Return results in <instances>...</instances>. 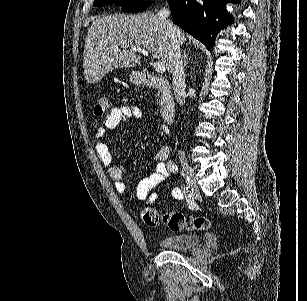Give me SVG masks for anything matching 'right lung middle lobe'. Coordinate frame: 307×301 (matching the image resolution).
<instances>
[{
	"label": "right lung middle lobe",
	"instance_id": "obj_1",
	"mask_svg": "<svg viewBox=\"0 0 307 301\" xmlns=\"http://www.w3.org/2000/svg\"><path fill=\"white\" fill-rule=\"evenodd\" d=\"M111 3L120 5L122 11L128 13L142 12L149 6L148 2L142 0H94L93 6L99 7Z\"/></svg>",
	"mask_w": 307,
	"mask_h": 301
}]
</instances>
